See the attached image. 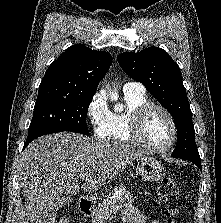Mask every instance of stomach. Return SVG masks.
<instances>
[{
    "label": "stomach",
    "mask_w": 221,
    "mask_h": 223,
    "mask_svg": "<svg viewBox=\"0 0 221 223\" xmlns=\"http://www.w3.org/2000/svg\"><path fill=\"white\" fill-rule=\"evenodd\" d=\"M137 171L143 180L156 182L165 176V169L160 161L152 156H144L137 161Z\"/></svg>",
    "instance_id": "1"
}]
</instances>
